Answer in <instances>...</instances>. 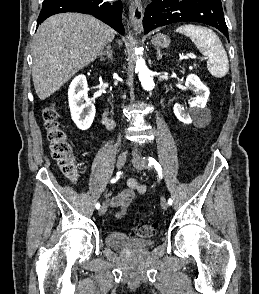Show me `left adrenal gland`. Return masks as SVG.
Returning <instances> with one entry per match:
<instances>
[{
  "label": "left adrenal gland",
  "mask_w": 259,
  "mask_h": 294,
  "mask_svg": "<svg viewBox=\"0 0 259 294\" xmlns=\"http://www.w3.org/2000/svg\"><path fill=\"white\" fill-rule=\"evenodd\" d=\"M165 55V54H162L160 52V50L157 51V60H160L162 58V56Z\"/></svg>",
  "instance_id": "1"
}]
</instances>
